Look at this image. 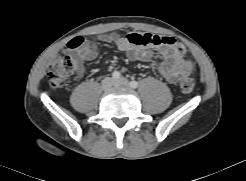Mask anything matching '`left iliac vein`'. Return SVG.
<instances>
[{"mask_svg":"<svg viewBox=\"0 0 246 181\" xmlns=\"http://www.w3.org/2000/svg\"><path fill=\"white\" fill-rule=\"evenodd\" d=\"M115 87H128L129 82L126 78H120L119 80L115 81Z\"/></svg>","mask_w":246,"mask_h":181,"instance_id":"left-iliac-vein-1","label":"left iliac vein"}]
</instances>
